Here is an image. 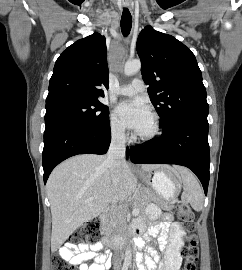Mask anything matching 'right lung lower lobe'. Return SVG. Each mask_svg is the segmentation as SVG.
<instances>
[{
  "label": "right lung lower lobe",
  "instance_id": "98d812e1",
  "mask_svg": "<svg viewBox=\"0 0 242 270\" xmlns=\"http://www.w3.org/2000/svg\"><path fill=\"white\" fill-rule=\"evenodd\" d=\"M109 125V120L102 126H94L77 119H61L46 124L42 153L44 183L54 167L71 156L105 154L111 142Z\"/></svg>",
  "mask_w": 242,
  "mask_h": 270
}]
</instances>
